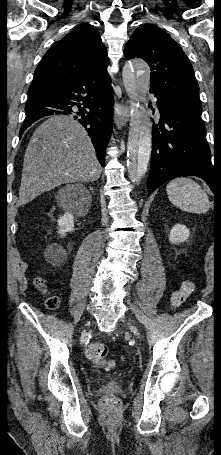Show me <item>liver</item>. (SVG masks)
<instances>
[{"mask_svg": "<svg viewBox=\"0 0 221 455\" xmlns=\"http://www.w3.org/2000/svg\"><path fill=\"white\" fill-rule=\"evenodd\" d=\"M102 168L84 127L72 117L52 116L26 148L17 206L61 184L99 179Z\"/></svg>", "mask_w": 221, "mask_h": 455, "instance_id": "obj_1", "label": "liver"}]
</instances>
